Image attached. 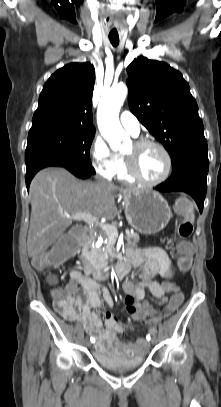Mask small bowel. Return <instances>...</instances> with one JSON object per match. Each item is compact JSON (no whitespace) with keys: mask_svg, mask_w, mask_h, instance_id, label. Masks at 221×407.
<instances>
[{"mask_svg":"<svg viewBox=\"0 0 221 407\" xmlns=\"http://www.w3.org/2000/svg\"><path fill=\"white\" fill-rule=\"evenodd\" d=\"M127 255L135 266L142 269L137 281L129 280L124 284L126 293L124 302L128 313L136 305H151L147 302L142 303L146 292H149L158 304L168 305L170 299L166 295H171L172 292L179 290L176 283L174 285L165 283L167 268L170 265L175 267L168 254L159 247H147L129 248ZM158 276L162 278V282L157 280ZM67 288L78 294L79 300L69 313L63 316L69 321L82 323L86 333L95 339L94 347L98 352L134 357L146 351L147 343L142 339L135 343H127L119 338V335L131 330V326L120 322L110 310L113 306V299L106 287L72 266ZM99 294L102 295L109 308L104 313L105 328L96 312L102 307ZM131 319L136 322L134 318L131 317ZM151 328H155V323Z\"/></svg>","mask_w":221,"mask_h":407,"instance_id":"c3829d8e","label":"small bowel"}]
</instances>
